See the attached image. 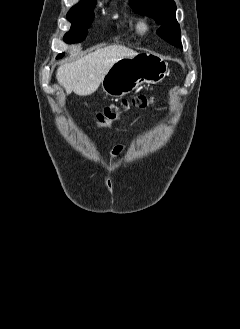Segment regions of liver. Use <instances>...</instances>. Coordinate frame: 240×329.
<instances>
[{
  "label": "liver",
  "instance_id": "1",
  "mask_svg": "<svg viewBox=\"0 0 240 329\" xmlns=\"http://www.w3.org/2000/svg\"><path fill=\"white\" fill-rule=\"evenodd\" d=\"M138 53L122 45H110L74 61L61 65L56 72L57 81L67 94L73 91L79 96L94 93L103 77L118 60Z\"/></svg>",
  "mask_w": 240,
  "mask_h": 329
}]
</instances>
